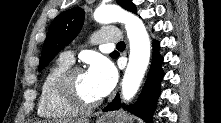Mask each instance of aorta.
<instances>
[{"label":"aorta","instance_id":"aorta-1","mask_svg":"<svg viewBox=\"0 0 221 123\" xmlns=\"http://www.w3.org/2000/svg\"><path fill=\"white\" fill-rule=\"evenodd\" d=\"M102 24L120 22L125 25L130 42V55L122 80V97L130 101L137 93L150 59V39L142 20L116 5H104L94 12Z\"/></svg>","mask_w":221,"mask_h":123}]
</instances>
